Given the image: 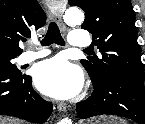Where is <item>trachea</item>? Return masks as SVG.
<instances>
[{"instance_id":"1","label":"trachea","mask_w":145,"mask_h":124,"mask_svg":"<svg viewBox=\"0 0 145 124\" xmlns=\"http://www.w3.org/2000/svg\"><path fill=\"white\" fill-rule=\"evenodd\" d=\"M53 43L61 45V46L65 45V41L63 40L61 36L60 30L57 24L54 22H51L49 24L48 31L44 39L41 41V44L44 46H49ZM85 50L87 51L88 49H85Z\"/></svg>"}]
</instances>
